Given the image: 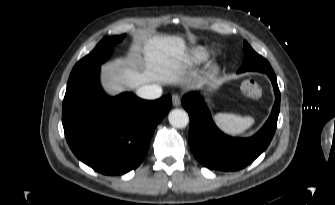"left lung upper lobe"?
Returning <instances> with one entry per match:
<instances>
[{
  "mask_svg": "<svg viewBox=\"0 0 335 205\" xmlns=\"http://www.w3.org/2000/svg\"><path fill=\"white\" fill-rule=\"evenodd\" d=\"M244 62L241 71H258L263 73L274 72L269 62L257 54L250 45L244 41Z\"/></svg>",
  "mask_w": 335,
  "mask_h": 205,
  "instance_id": "left-lung-upper-lobe-1",
  "label": "left lung upper lobe"
}]
</instances>
